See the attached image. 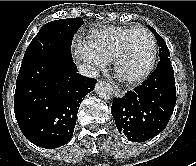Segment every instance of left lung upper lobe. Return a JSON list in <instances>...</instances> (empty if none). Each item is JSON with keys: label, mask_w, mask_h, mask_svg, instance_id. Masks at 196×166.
<instances>
[{"label": "left lung upper lobe", "mask_w": 196, "mask_h": 166, "mask_svg": "<svg viewBox=\"0 0 196 166\" xmlns=\"http://www.w3.org/2000/svg\"><path fill=\"white\" fill-rule=\"evenodd\" d=\"M149 28L154 33V35L157 39V42H158V46L160 47L159 48L160 59L165 58V57H169L170 53H169V50H168L167 45H166L165 41L163 40V38L152 27L149 26Z\"/></svg>", "instance_id": "left-lung-upper-lobe-1"}]
</instances>
